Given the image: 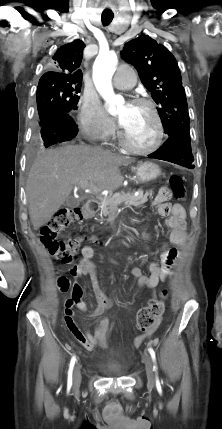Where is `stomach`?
Listing matches in <instances>:
<instances>
[{"label": "stomach", "instance_id": "0dacf381", "mask_svg": "<svg viewBox=\"0 0 222 429\" xmlns=\"http://www.w3.org/2000/svg\"><path fill=\"white\" fill-rule=\"evenodd\" d=\"M135 182L146 183L152 180H155L161 175V169L157 164L152 162L140 163L135 169Z\"/></svg>", "mask_w": 222, "mask_h": 429}]
</instances>
